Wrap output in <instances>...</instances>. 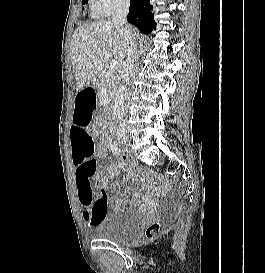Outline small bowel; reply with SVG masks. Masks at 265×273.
Wrapping results in <instances>:
<instances>
[{"mask_svg": "<svg viewBox=\"0 0 265 273\" xmlns=\"http://www.w3.org/2000/svg\"><path fill=\"white\" fill-rule=\"evenodd\" d=\"M94 95V91H81L76 96L74 124L70 130L78 202L82 209V218L90 229L107 213L108 184L127 164L126 159L122 157L118 164L97 169L94 154H105L106 147L101 145L99 149H95L93 140L83 136V133L87 131V123H91L96 104ZM94 188L98 190V198L95 202H93ZM97 203L101 205L98 211L95 209Z\"/></svg>", "mask_w": 265, "mask_h": 273, "instance_id": "1", "label": "small bowel"}]
</instances>
